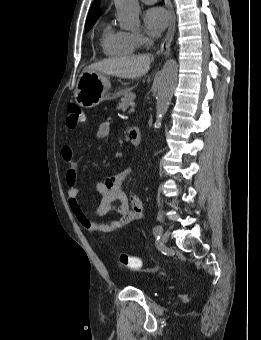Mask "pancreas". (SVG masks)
<instances>
[{
	"instance_id": "obj_1",
	"label": "pancreas",
	"mask_w": 261,
	"mask_h": 340,
	"mask_svg": "<svg viewBox=\"0 0 261 340\" xmlns=\"http://www.w3.org/2000/svg\"><path fill=\"white\" fill-rule=\"evenodd\" d=\"M120 95L122 96L120 102L118 103L117 109L125 111L131 102L135 99L136 95L131 93L130 89H125L121 91Z\"/></svg>"
}]
</instances>
